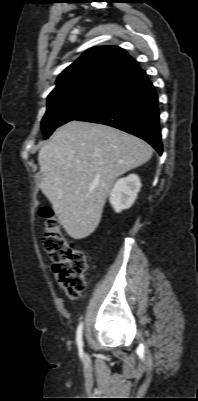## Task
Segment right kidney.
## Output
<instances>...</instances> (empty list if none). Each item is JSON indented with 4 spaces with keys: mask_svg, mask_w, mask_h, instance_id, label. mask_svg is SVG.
<instances>
[{
    "mask_svg": "<svg viewBox=\"0 0 198 401\" xmlns=\"http://www.w3.org/2000/svg\"><path fill=\"white\" fill-rule=\"evenodd\" d=\"M141 189V181L138 175L130 174L127 177L120 178L114 184L110 192V204L115 212L130 208L135 202Z\"/></svg>",
    "mask_w": 198,
    "mask_h": 401,
    "instance_id": "right-kidney-1",
    "label": "right kidney"
}]
</instances>
